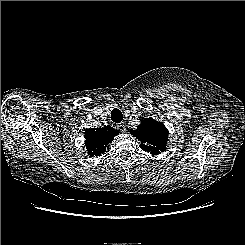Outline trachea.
<instances>
[{"instance_id": "3493384b", "label": "trachea", "mask_w": 245, "mask_h": 245, "mask_svg": "<svg viewBox=\"0 0 245 245\" xmlns=\"http://www.w3.org/2000/svg\"><path fill=\"white\" fill-rule=\"evenodd\" d=\"M111 120L115 123H120L123 120V114L122 112L115 108L111 112Z\"/></svg>"}]
</instances>
